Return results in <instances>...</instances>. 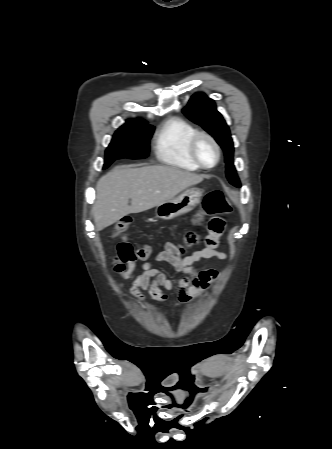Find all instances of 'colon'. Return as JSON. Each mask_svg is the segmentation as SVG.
<instances>
[{
	"label": "colon",
	"mask_w": 332,
	"mask_h": 449,
	"mask_svg": "<svg viewBox=\"0 0 332 449\" xmlns=\"http://www.w3.org/2000/svg\"><path fill=\"white\" fill-rule=\"evenodd\" d=\"M231 210V200L226 197L222 191H212L204 197L202 211L197 215L196 221H200L204 217H211L212 219L220 218L222 215L229 214ZM130 226V220L121 219L114 225V233L116 235H121L128 231ZM184 243L189 247L196 245L198 243L197 235L192 230H188L184 236ZM136 259V252L132 245L128 241L122 240L118 244L117 255L114 260L115 266L132 263Z\"/></svg>",
	"instance_id": "obj_1"
}]
</instances>
